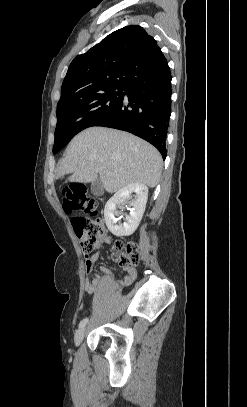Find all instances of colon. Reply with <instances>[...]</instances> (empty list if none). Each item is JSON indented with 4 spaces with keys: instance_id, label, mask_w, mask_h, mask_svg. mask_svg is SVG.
<instances>
[{
    "instance_id": "obj_1",
    "label": "colon",
    "mask_w": 247,
    "mask_h": 407,
    "mask_svg": "<svg viewBox=\"0 0 247 407\" xmlns=\"http://www.w3.org/2000/svg\"><path fill=\"white\" fill-rule=\"evenodd\" d=\"M62 195L63 209L66 213L96 214V201L88 194L84 186L78 184L68 185L63 189ZM72 226L86 256L92 253L105 237V226L100 219L76 216L72 219ZM113 257L120 267L128 268L137 264L140 251L134 242L127 244L116 242Z\"/></svg>"
}]
</instances>
